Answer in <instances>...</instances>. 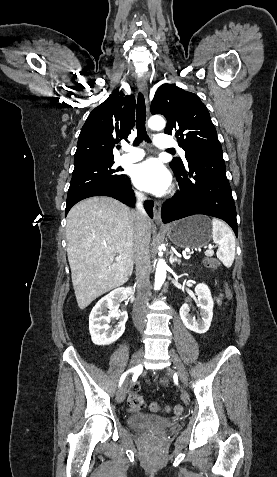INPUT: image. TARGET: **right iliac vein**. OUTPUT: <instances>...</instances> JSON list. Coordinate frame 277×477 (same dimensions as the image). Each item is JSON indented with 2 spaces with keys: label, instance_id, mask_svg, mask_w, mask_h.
Listing matches in <instances>:
<instances>
[{
  "label": "right iliac vein",
  "instance_id": "right-iliac-vein-1",
  "mask_svg": "<svg viewBox=\"0 0 277 477\" xmlns=\"http://www.w3.org/2000/svg\"><path fill=\"white\" fill-rule=\"evenodd\" d=\"M143 356H144V349L141 348L133 355L130 362V367L133 368L137 366L143 360ZM126 391H127V380H125V382L122 384V386L119 388L117 392V401L119 403L124 401L126 397Z\"/></svg>",
  "mask_w": 277,
  "mask_h": 477
}]
</instances>
